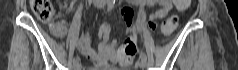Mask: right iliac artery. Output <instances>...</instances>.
Masks as SVG:
<instances>
[{
    "instance_id": "82829eb1",
    "label": "right iliac artery",
    "mask_w": 238,
    "mask_h": 70,
    "mask_svg": "<svg viewBox=\"0 0 238 70\" xmlns=\"http://www.w3.org/2000/svg\"><path fill=\"white\" fill-rule=\"evenodd\" d=\"M114 3H115V1L114 0H108L107 1V10L108 11H111L112 10V8H113V6H114ZM79 57H75L74 59H73V63L74 62H79Z\"/></svg>"
}]
</instances>
